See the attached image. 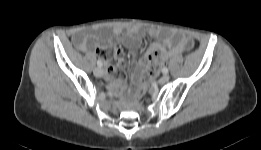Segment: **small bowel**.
<instances>
[{
  "instance_id": "small-bowel-1",
  "label": "small bowel",
  "mask_w": 261,
  "mask_h": 150,
  "mask_svg": "<svg viewBox=\"0 0 261 150\" xmlns=\"http://www.w3.org/2000/svg\"><path fill=\"white\" fill-rule=\"evenodd\" d=\"M145 35L163 42V45L155 44L153 48L160 49L164 59L175 57L193 46L192 40L183 33L155 26H131L125 33H123V28L120 26L113 27L111 31L86 28L76 31L72 39L80 50L87 53L98 52L104 60L111 61V78L122 81L126 62L120 49H111L113 41L117 39L129 49L132 63L135 64L136 70L139 71L145 67L146 62L143 59L136 61L135 57Z\"/></svg>"
}]
</instances>
